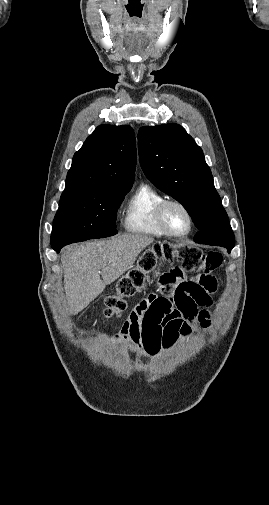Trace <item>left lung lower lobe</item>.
Listing matches in <instances>:
<instances>
[{"label":"left lung lower lobe","mask_w":269,"mask_h":505,"mask_svg":"<svg viewBox=\"0 0 269 505\" xmlns=\"http://www.w3.org/2000/svg\"><path fill=\"white\" fill-rule=\"evenodd\" d=\"M196 243H197V242H196ZM225 248H227L228 253H230V251L232 250V248H233V247H229V246H227V247H225Z\"/></svg>","instance_id":"0a47b994"}]
</instances>
